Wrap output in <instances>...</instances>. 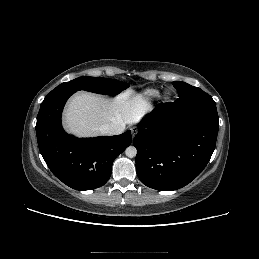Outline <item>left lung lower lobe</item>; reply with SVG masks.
<instances>
[{"instance_id": "obj_1", "label": "left lung lower lobe", "mask_w": 259, "mask_h": 259, "mask_svg": "<svg viewBox=\"0 0 259 259\" xmlns=\"http://www.w3.org/2000/svg\"><path fill=\"white\" fill-rule=\"evenodd\" d=\"M219 118L212 100L159 104L133 140L136 172L153 189L184 187L205 168L215 149Z\"/></svg>"}]
</instances>
